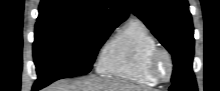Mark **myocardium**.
<instances>
[{
	"instance_id": "obj_1",
	"label": "myocardium",
	"mask_w": 220,
	"mask_h": 91,
	"mask_svg": "<svg viewBox=\"0 0 220 91\" xmlns=\"http://www.w3.org/2000/svg\"><path fill=\"white\" fill-rule=\"evenodd\" d=\"M167 63L168 72L162 75L160 72L161 62ZM147 70L149 75L157 82H168L172 78L174 63L171 54L164 48H156L149 56L147 61Z\"/></svg>"
}]
</instances>
